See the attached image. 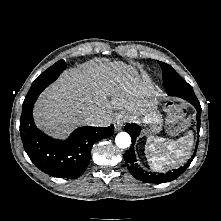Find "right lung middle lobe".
Returning <instances> with one entry per match:
<instances>
[{
	"instance_id": "1",
	"label": "right lung middle lobe",
	"mask_w": 221,
	"mask_h": 221,
	"mask_svg": "<svg viewBox=\"0 0 221 221\" xmlns=\"http://www.w3.org/2000/svg\"><path fill=\"white\" fill-rule=\"evenodd\" d=\"M66 68L64 60L56 62L54 65L44 71L31 85L28 94L23 102V107L36 101L38 95L53 81H55L60 73Z\"/></svg>"
}]
</instances>
